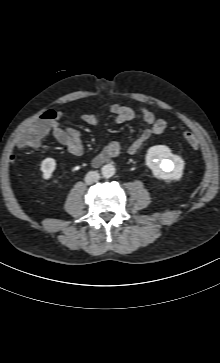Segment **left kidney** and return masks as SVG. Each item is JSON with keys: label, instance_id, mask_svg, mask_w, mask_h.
Instances as JSON below:
<instances>
[{"label": "left kidney", "instance_id": "left-kidney-1", "mask_svg": "<svg viewBox=\"0 0 220 363\" xmlns=\"http://www.w3.org/2000/svg\"><path fill=\"white\" fill-rule=\"evenodd\" d=\"M146 164L159 179L179 180L182 177L183 160L173 155L165 145L150 147L146 154Z\"/></svg>", "mask_w": 220, "mask_h": 363}]
</instances>
